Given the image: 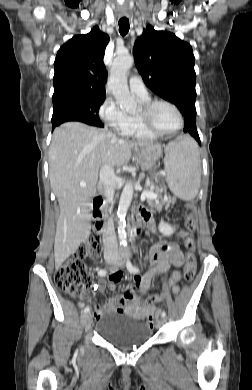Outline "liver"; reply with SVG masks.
I'll return each instance as SVG.
<instances>
[{"label": "liver", "instance_id": "1", "mask_svg": "<svg viewBox=\"0 0 252 390\" xmlns=\"http://www.w3.org/2000/svg\"><path fill=\"white\" fill-rule=\"evenodd\" d=\"M161 146L109 137L103 129L79 122L55 128L49 148V179L60 207L54 242L56 267L69 258L90 235V199L95 196L99 169L104 164L125 165L131 150ZM86 186L81 187L80 183Z\"/></svg>", "mask_w": 252, "mask_h": 390}]
</instances>
